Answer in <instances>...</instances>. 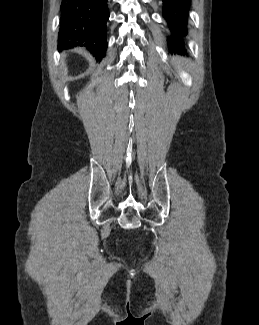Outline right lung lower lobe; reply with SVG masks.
<instances>
[{
	"instance_id": "1",
	"label": "right lung lower lobe",
	"mask_w": 259,
	"mask_h": 325,
	"mask_svg": "<svg viewBox=\"0 0 259 325\" xmlns=\"http://www.w3.org/2000/svg\"><path fill=\"white\" fill-rule=\"evenodd\" d=\"M107 0H62L58 46L86 47L94 56H105Z\"/></svg>"
}]
</instances>
